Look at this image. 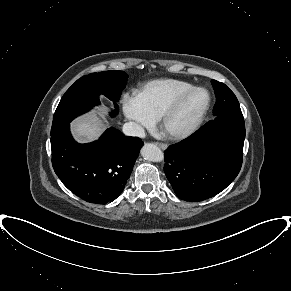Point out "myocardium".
I'll list each match as a JSON object with an SVG mask.
<instances>
[{"label":"myocardium","mask_w":291,"mask_h":291,"mask_svg":"<svg viewBox=\"0 0 291 291\" xmlns=\"http://www.w3.org/2000/svg\"><path fill=\"white\" fill-rule=\"evenodd\" d=\"M202 90L207 94V101L195 120L185 129L179 131L170 130L168 127L172 116L177 112L183 102L195 91ZM211 106V94L209 90L202 86H192L191 88L177 95L164 109L159 117V127L162 134L172 140H181L192 135L202 124Z\"/></svg>","instance_id":"obj_1"}]
</instances>
